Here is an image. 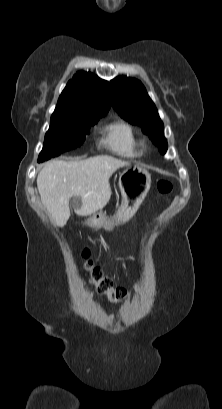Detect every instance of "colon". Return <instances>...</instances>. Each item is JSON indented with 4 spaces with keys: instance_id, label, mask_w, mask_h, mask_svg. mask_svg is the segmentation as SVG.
<instances>
[{
    "instance_id": "colon-1",
    "label": "colon",
    "mask_w": 222,
    "mask_h": 409,
    "mask_svg": "<svg viewBox=\"0 0 222 409\" xmlns=\"http://www.w3.org/2000/svg\"><path fill=\"white\" fill-rule=\"evenodd\" d=\"M157 189L160 194L167 195L172 191V184L167 180H160L157 183ZM81 257L83 269L95 290L99 294L106 296L112 303H120L126 296V290L115 286L112 280L103 274L102 270L93 263L87 249L82 251Z\"/></svg>"
}]
</instances>
